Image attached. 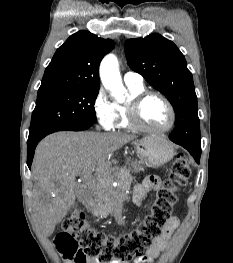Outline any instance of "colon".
Instances as JSON below:
<instances>
[{
    "label": "colon",
    "mask_w": 233,
    "mask_h": 263,
    "mask_svg": "<svg viewBox=\"0 0 233 263\" xmlns=\"http://www.w3.org/2000/svg\"><path fill=\"white\" fill-rule=\"evenodd\" d=\"M190 174L187 155L178 154L150 213L136 229L118 236L93 228L82 211H74L56 238L57 249L73 263H87L90 259H98L103 263L111 260L127 263L142 256L153 241L161 236L162 228L178 202L177 192Z\"/></svg>",
    "instance_id": "obj_1"
}]
</instances>
